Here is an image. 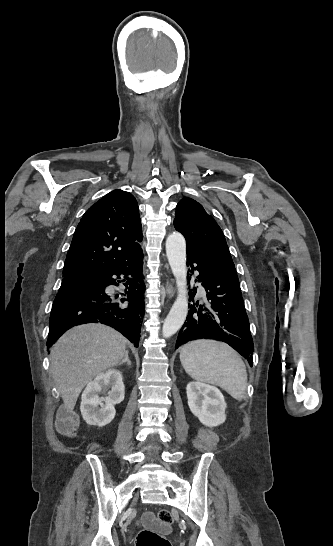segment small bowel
<instances>
[{"label":"small bowel","mask_w":333,"mask_h":546,"mask_svg":"<svg viewBox=\"0 0 333 546\" xmlns=\"http://www.w3.org/2000/svg\"><path fill=\"white\" fill-rule=\"evenodd\" d=\"M73 421H74L73 415H69V416L58 419L56 421L57 431L60 434L65 435V436H69V435L74 436L75 433H74V430H73V427H72ZM153 521H154V518H153V515L151 513H146L144 515L143 522L145 524H151V523H153Z\"/></svg>","instance_id":"small-bowel-1"}]
</instances>
